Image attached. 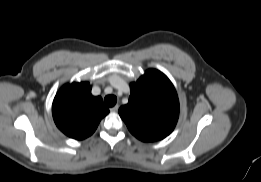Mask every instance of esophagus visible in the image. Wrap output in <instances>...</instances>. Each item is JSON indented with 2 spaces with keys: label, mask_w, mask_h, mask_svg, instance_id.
<instances>
[{
  "label": "esophagus",
  "mask_w": 261,
  "mask_h": 182,
  "mask_svg": "<svg viewBox=\"0 0 261 182\" xmlns=\"http://www.w3.org/2000/svg\"><path fill=\"white\" fill-rule=\"evenodd\" d=\"M119 106L115 105L114 107L110 108L111 112H116L118 110Z\"/></svg>",
  "instance_id": "34e87169"
}]
</instances>
